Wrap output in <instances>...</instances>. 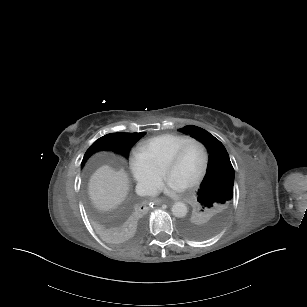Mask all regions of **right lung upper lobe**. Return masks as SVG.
Here are the masks:
<instances>
[{
	"label": "right lung upper lobe",
	"instance_id": "obj_1",
	"mask_svg": "<svg viewBox=\"0 0 307 307\" xmlns=\"http://www.w3.org/2000/svg\"><path fill=\"white\" fill-rule=\"evenodd\" d=\"M145 211L139 205L129 206L117 213L107 216L104 223L108 227L135 226L144 219Z\"/></svg>",
	"mask_w": 307,
	"mask_h": 307
}]
</instances>
